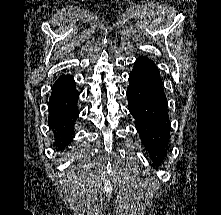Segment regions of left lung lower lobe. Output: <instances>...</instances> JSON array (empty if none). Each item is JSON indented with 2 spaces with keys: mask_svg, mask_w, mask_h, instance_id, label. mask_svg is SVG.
<instances>
[{
  "mask_svg": "<svg viewBox=\"0 0 221 215\" xmlns=\"http://www.w3.org/2000/svg\"><path fill=\"white\" fill-rule=\"evenodd\" d=\"M128 108L136 120L142 143L156 155L154 164L163 160L169 135L167 102L159 70L153 61L139 57L129 75Z\"/></svg>",
  "mask_w": 221,
  "mask_h": 215,
  "instance_id": "0a47b994",
  "label": "left lung lower lobe"
}]
</instances>
